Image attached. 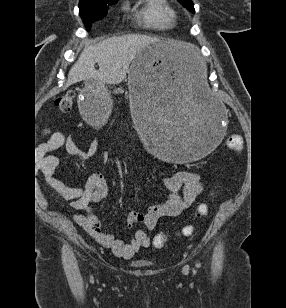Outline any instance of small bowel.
Here are the masks:
<instances>
[{"label": "small bowel", "mask_w": 286, "mask_h": 308, "mask_svg": "<svg viewBox=\"0 0 286 308\" xmlns=\"http://www.w3.org/2000/svg\"><path fill=\"white\" fill-rule=\"evenodd\" d=\"M45 133L50 136L39 150L40 170L46 183L59 198L70 201L73 209L87 212L85 215H74V221L101 246L110 249L115 256L131 258L140 249L149 247L150 239L144 230H137L130 242H125L102 230L99 220L91 212V205L102 200L108 193L107 179L100 171L91 174L83 187L67 186L55 176L54 170L58 165V159L49 152L63 148L69 155L86 159L96 153V142H93L87 150H82L71 136L62 132L45 131ZM162 183L169 193L167 199L150 206L144 213L130 212L127 216L128 226L141 223L147 230H153L161 218L176 217L188 210L203 190L201 175L191 170H182L166 176L162 178Z\"/></svg>", "instance_id": "c3829d8e"}]
</instances>
